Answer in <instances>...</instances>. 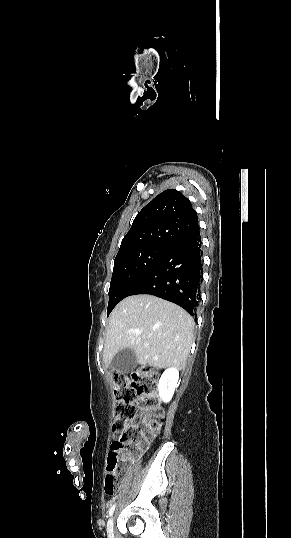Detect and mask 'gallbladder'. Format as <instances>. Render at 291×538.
Wrapping results in <instances>:
<instances>
[{
  "instance_id": "gallbladder-1",
  "label": "gallbladder",
  "mask_w": 291,
  "mask_h": 538,
  "mask_svg": "<svg viewBox=\"0 0 291 538\" xmlns=\"http://www.w3.org/2000/svg\"><path fill=\"white\" fill-rule=\"evenodd\" d=\"M111 365L115 371L121 373L132 372L137 366V356L135 351L130 348L119 351L114 355Z\"/></svg>"
}]
</instances>
